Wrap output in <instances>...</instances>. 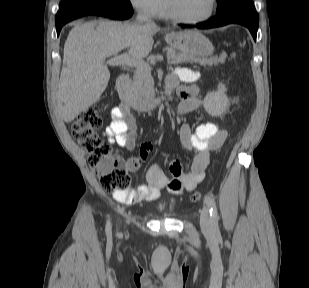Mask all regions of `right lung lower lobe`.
Here are the masks:
<instances>
[{
  "instance_id": "obj_1",
  "label": "right lung lower lobe",
  "mask_w": 309,
  "mask_h": 288,
  "mask_svg": "<svg viewBox=\"0 0 309 288\" xmlns=\"http://www.w3.org/2000/svg\"><path fill=\"white\" fill-rule=\"evenodd\" d=\"M132 13V7L124 5H115L108 3H96L87 5L68 14L62 20L56 22L57 35L60 34V30L64 24L82 16L98 15L111 19L124 20L130 18L132 16Z\"/></svg>"
}]
</instances>
